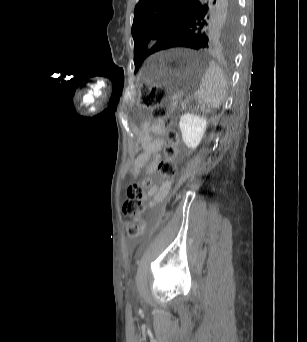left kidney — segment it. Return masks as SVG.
<instances>
[{"mask_svg": "<svg viewBox=\"0 0 307 342\" xmlns=\"http://www.w3.org/2000/svg\"><path fill=\"white\" fill-rule=\"evenodd\" d=\"M182 140L187 148H197L199 146L204 132L207 128L205 116H195V114H183L179 122Z\"/></svg>", "mask_w": 307, "mask_h": 342, "instance_id": "5707ae66", "label": "left kidney"}]
</instances>
